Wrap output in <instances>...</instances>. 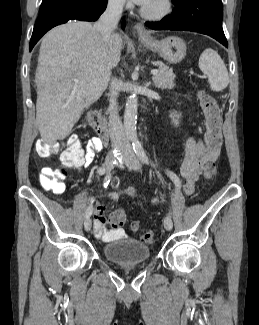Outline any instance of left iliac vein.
Here are the masks:
<instances>
[{"mask_svg":"<svg viewBox=\"0 0 259 325\" xmlns=\"http://www.w3.org/2000/svg\"><path fill=\"white\" fill-rule=\"evenodd\" d=\"M123 161L130 169L134 171H138L141 168V164L132 150L125 152ZM164 227L168 231H170L173 227L172 219L169 215L164 218Z\"/></svg>","mask_w":259,"mask_h":325,"instance_id":"1","label":"left iliac vein"}]
</instances>
